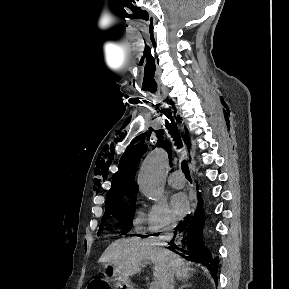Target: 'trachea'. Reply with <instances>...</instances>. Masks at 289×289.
Instances as JSON below:
<instances>
[{"mask_svg":"<svg viewBox=\"0 0 289 289\" xmlns=\"http://www.w3.org/2000/svg\"><path fill=\"white\" fill-rule=\"evenodd\" d=\"M166 116L170 119V122H168L166 120V128L169 130V133L171 134V136L176 141L175 145L178 148H181L182 147V141L180 140V136H179V133H178V129H177L176 123L174 122V119L171 116L170 111L168 112V115H166ZM181 169H182L183 173L185 174L186 178L189 181H191V175H190L189 167H188V164H187L186 160H183L181 162Z\"/></svg>","mask_w":289,"mask_h":289,"instance_id":"3493384b","label":"trachea"}]
</instances>
